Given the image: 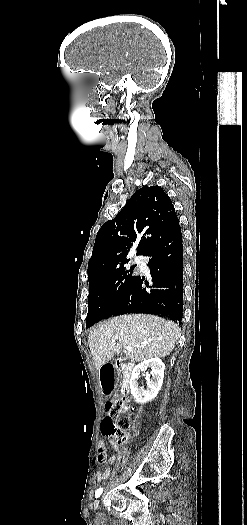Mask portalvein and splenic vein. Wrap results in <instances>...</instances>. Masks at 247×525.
<instances>
[{"label": "portal vein and splenic vein", "mask_w": 247, "mask_h": 525, "mask_svg": "<svg viewBox=\"0 0 247 525\" xmlns=\"http://www.w3.org/2000/svg\"><path fill=\"white\" fill-rule=\"evenodd\" d=\"M137 348H143V345H137ZM133 347H130V345H127V347H125V351H132Z\"/></svg>", "instance_id": "18ae733b"}]
</instances>
